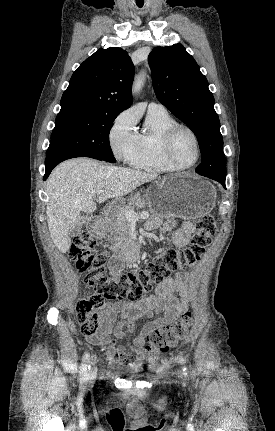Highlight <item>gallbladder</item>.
Here are the masks:
<instances>
[{
	"mask_svg": "<svg viewBox=\"0 0 275 431\" xmlns=\"http://www.w3.org/2000/svg\"><path fill=\"white\" fill-rule=\"evenodd\" d=\"M89 220H90V217H89V216H87V215H86V216H84V217L82 218V220L80 221V223L76 224V225L74 226V228L70 231L69 235H70V236H72V237L77 236V235L80 233V228H81V226H82L83 224L87 223Z\"/></svg>",
	"mask_w": 275,
	"mask_h": 431,
	"instance_id": "gallbladder-1",
	"label": "gallbladder"
}]
</instances>
